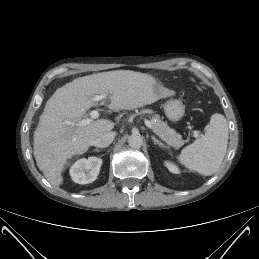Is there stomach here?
<instances>
[{
  "mask_svg": "<svg viewBox=\"0 0 259 259\" xmlns=\"http://www.w3.org/2000/svg\"><path fill=\"white\" fill-rule=\"evenodd\" d=\"M164 112L169 120L177 122L184 116L185 106L180 100L171 99L165 103Z\"/></svg>",
  "mask_w": 259,
  "mask_h": 259,
  "instance_id": "0dacf381",
  "label": "stomach"
}]
</instances>
